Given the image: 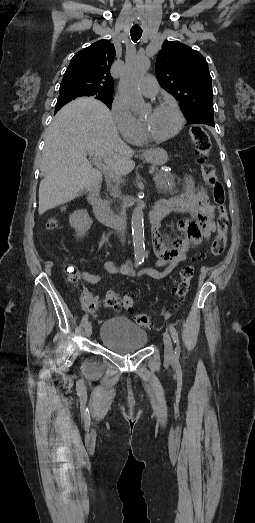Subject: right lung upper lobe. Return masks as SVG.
<instances>
[{"label": "right lung upper lobe", "mask_w": 255, "mask_h": 523, "mask_svg": "<svg viewBox=\"0 0 255 523\" xmlns=\"http://www.w3.org/2000/svg\"><path fill=\"white\" fill-rule=\"evenodd\" d=\"M115 58L114 45L100 40L79 51L64 73L59 92L112 95L114 90L110 67ZM66 102L57 101L55 113Z\"/></svg>", "instance_id": "obj_1"}]
</instances>
